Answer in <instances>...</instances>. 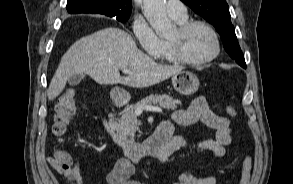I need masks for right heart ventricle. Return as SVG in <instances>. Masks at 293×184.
Returning <instances> with one entry per match:
<instances>
[{"label": "right heart ventricle", "mask_w": 293, "mask_h": 184, "mask_svg": "<svg viewBox=\"0 0 293 184\" xmlns=\"http://www.w3.org/2000/svg\"><path fill=\"white\" fill-rule=\"evenodd\" d=\"M178 24L184 23L187 21V17L185 18H180L176 19L173 18ZM160 60L166 61V62H174L175 60L173 59L170 51V46L168 40H162V47L160 50L159 55L157 56Z\"/></svg>", "instance_id": "obj_1"}]
</instances>
